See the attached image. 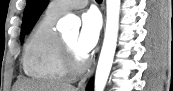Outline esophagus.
Masks as SVG:
<instances>
[{"label":"esophagus","mask_w":173,"mask_h":91,"mask_svg":"<svg viewBox=\"0 0 173 91\" xmlns=\"http://www.w3.org/2000/svg\"><path fill=\"white\" fill-rule=\"evenodd\" d=\"M103 8H104V1H103ZM92 74H93V69L90 71V73H88V74L80 81L79 86H78L79 91H84V90L86 89L87 84H88V82H89V80H90Z\"/></svg>","instance_id":"1"}]
</instances>
